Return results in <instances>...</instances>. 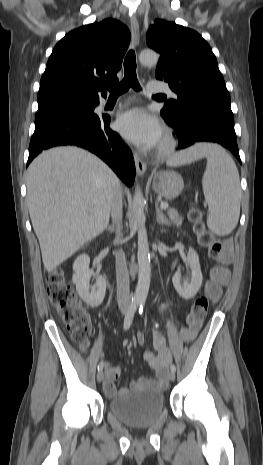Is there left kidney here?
<instances>
[{"instance_id": "obj_1", "label": "left kidney", "mask_w": 263, "mask_h": 465, "mask_svg": "<svg viewBox=\"0 0 263 465\" xmlns=\"http://www.w3.org/2000/svg\"><path fill=\"white\" fill-rule=\"evenodd\" d=\"M188 265L191 269V278L188 281H181L180 270H178L173 278L172 282L177 293L184 299L193 298L202 285V272L199 263V256L193 248H189L188 254Z\"/></svg>"}]
</instances>
